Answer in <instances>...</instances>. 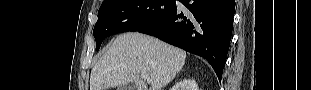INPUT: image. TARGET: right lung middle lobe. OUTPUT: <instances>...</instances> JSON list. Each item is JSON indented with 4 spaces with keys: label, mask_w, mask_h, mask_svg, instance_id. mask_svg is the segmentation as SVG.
<instances>
[{
    "label": "right lung middle lobe",
    "mask_w": 311,
    "mask_h": 90,
    "mask_svg": "<svg viewBox=\"0 0 311 90\" xmlns=\"http://www.w3.org/2000/svg\"><path fill=\"white\" fill-rule=\"evenodd\" d=\"M175 7L174 0H107L98 11L93 34L96 48L110 35L138 31L165 17Z\"/></svg>",
    "instance_id": "obj_1"
}]
</instances>
